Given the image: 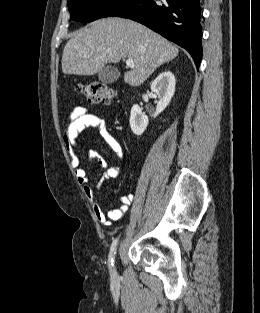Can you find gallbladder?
I'll return each instance as SVG.
<instances>
[{
    "label": "gallbladder",
    "mask_w": 260,
    "mask_h": 313,
    "mask_svg": "<svg viewBox=\"0 0 260 313\" xmlns=\"http://www.w3.org/2000/svg\"><path fill=\"white\" fill-rule=\"evenodd\" d=\"M119 77V72L114 67H106L98 73V79L106 84L115 82Z\"/></svg>",
    "instance_id": "bac80fb5"
}]
</instances>
